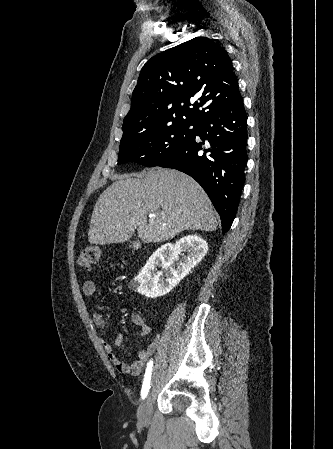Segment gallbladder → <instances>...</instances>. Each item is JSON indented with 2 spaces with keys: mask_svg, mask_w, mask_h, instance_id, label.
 Wrapping results in <instances>:
<instances>
[{
  "mask_svg": "<svg viewBox=\"0 0 333 449\" xmlns=\"http://www.w3.org/2000/svg\"><path fill=\"white\" fill-rule=\"evenodd\" d=\"M129 247H130V248L137 249V248L139 247V244H138L137 242H131V243L129 244Z\"/></svg>",
  "mask_w": 333,
  "mask_h": 449,
  "instance_id": "obj_1",
  "label": "gallbladder"
}]
</instances>
